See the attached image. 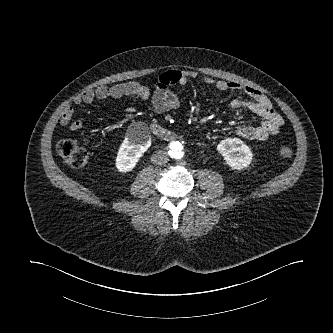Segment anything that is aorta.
Segmentation results:
<instances>
[{
    "mask_svg": "<svg viewBox=\"0 0 333 333\" xmlns=\"http://www.w3.org/2000/svg\"><path fill=\"white\" fill-rule=\"evenodd\" d=\"M184 149V145L181 142H174L171 145V151L176 159H181L183 157Z\"/></svg>",
    "mask_w": 333,
    "mask_h": 333,
    "instance_id": "aorta-1",
    "label": "aorta"
}]
</instances>
